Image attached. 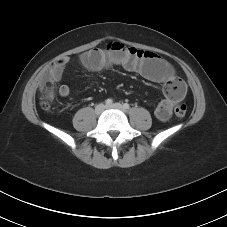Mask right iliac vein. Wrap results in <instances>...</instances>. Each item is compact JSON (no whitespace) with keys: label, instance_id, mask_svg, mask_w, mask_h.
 I'll return each mask as SVG.
<instances>
[{"label":"right iliac vein","instance_id":"63e3f726","mask_svg":"<svg viewBox=\"0 0 227 227\" xmlns=\"http://www.w3.org/2000/svg\"><path fill=\"white\" fill-rule=\"evenodd\" d=\"M106 109V106L104 104H98L96 107H95V113L97 115L101 114L104 110Z\"/></svg>","mask_w":227,"mask_h":227}]
</instances>
